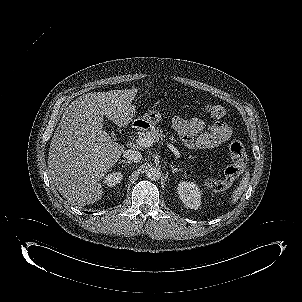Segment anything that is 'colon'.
Segmentation results:
<instances>
[{"instance_id":"obj_1","label":"colon","mask_w":302,"mask_h":302,"mask_svg":"<svg viewBox=\"0 0 302 302\" xmlns=\"http://www.w3.org/2000/svg\"><path fill=\"white\" fill-rule=\"evenodd\" d=\"M205 111L213 118H221L226 114V109L220 104H207ZM230 154L233 164L225 171L224 181L209 179L207 186L212 190H222L238 175L240 169L243 167L246 161V153L243 144L235 140L230 144Z\"/></svg>"}]
</instances>
